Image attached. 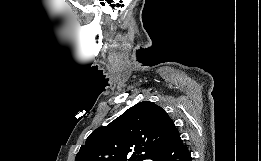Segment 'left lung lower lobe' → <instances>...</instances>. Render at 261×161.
Segmentation results:
<instances>
[{
	"mask_svg": "<svg viewBox=\"0 0 261 161\" xmlns=\"http://www.w3.org/2000/svg\"><path fill=\"white\" fill-rule=\"evenodd\" d=\"M149 159L152 161H192L190 152L182 143L178 130L165 145L156 148Z\"/></svg>",
	"mask_w": 261,
	"mask_h": 161,
	"instance_id": "0a47b994",
	"label": "left lung lower lobe"
}]
</instances>
